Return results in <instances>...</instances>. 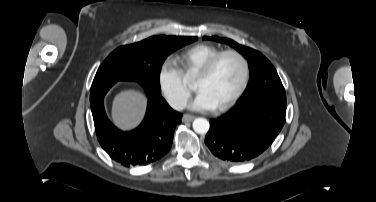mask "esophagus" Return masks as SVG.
<instances>
[{
	"mask_svg": "<svg viewBox=\"0 0 376 202\" xmlns=\"http://www.w3.org/2000/svg\"><path fill=\"white\" fill-rule=\"evenodd\" d=\"M195 118V116L190 115V114H184L182 117L183 122H190Z\"/></svg>",
	"mask_w": 376,
	"mask_h": 202,
	"instance_id": "1",
	"label": "esophagus"
}]
</instances>
